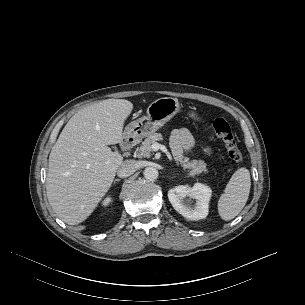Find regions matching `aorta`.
<instances>
[{"label":"aorta","instance_id":"obj_1","mask_svg":"<svg viewBox=\"0 0 305 305\" xmlns=\"http://www.w3.org/2000/svg\"><path fill=\"white\" fill-rule=\"evenodd\" d=\"M143 174H144L145 179L150 180V181H154L155 179L158 178V170L154 167L145 168Z\"/></svg>","mask_w":305,"mask_h":305}]
</instances>
